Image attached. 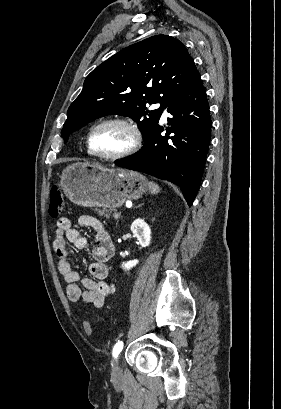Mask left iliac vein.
I'll return each mask as SVG.
<instances>
[{
  "label": "left iliac vein",
  "instance_id": "obj_1",
  "mask_svg": "<svg viewBox=\"0 0 281 409\" xmlns=\"http://www.w3.org/2000/svg\"><path fill=\"white\" fill-rule=\"evenodd\" d=\"M121 374V368L118 362V359L116 358L112 364V371L111 375L113 378L118 377Z\"/></svg>",
  "mask_w": 281,
  "mask_h": 409
}]
</instances>
